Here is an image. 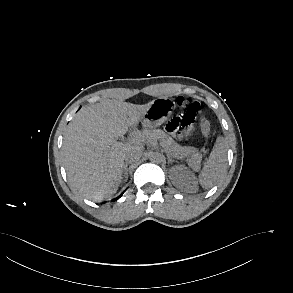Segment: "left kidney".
I'll list each match as a JSON object with an SVG mask.
<instances>
[{"instance_id":"left-kidney-1","label":"left kidney","mask_w":293,"mask_h":293,"mask_svg":"<svg viewBox=\"0 0 293 293\" xmlns=\"http://www.w3.org/2000/svg\"><path fill=\"white\" fill-rule=\"evenodd\" d=\"M170 178L172 179V183L178 188L188 191L197 190L198 186L195 176L187 167L183 165L174 166L170 170Z\"/></svg>"}]
</instances>
